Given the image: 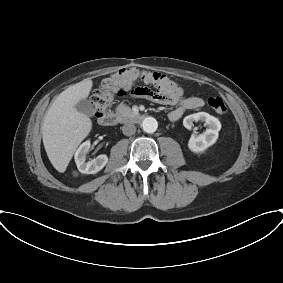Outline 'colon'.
Segmentation results:
<instances>
[{"instance_id":"obj_1","label":"colon","mask_w":283,"mask_h":283,"mask_svg":"<svg viewBox=\"0 0 283 283\" xmlns=\"http://www.w3.org/2000/svg\"><path fill=\"white\" fill-rule=\"evenodd\" d=\"M136 81L143 82L145 86H134ZM127 91L135 96L165 101L174 89L172 80L164 74L142 71L137 68H122L104 79L100 87L93 93L91 103L95 114L99 116L105 113L114 95L123 96ZM207 102L216 113L225 114L227 112V106L221 97H210Z\"/></svg>"}]
</instances>
